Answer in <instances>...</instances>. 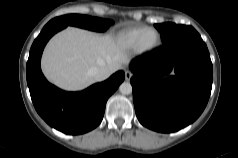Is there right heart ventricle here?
Wrapping results in <instances>:
<instances>
[{
	"instance_id": "right-heart-ventricle-1",
	"label": "right heart ventricle",
	"mask_w": 238,
	"mask_h": 158,
	"mask_svg": "<svg viewBox=\"0 0 238 158\" xmlns=\"http://www.w3.org/2000/svg\"><path fill=\"white\" fill-rule=\"evenodd\" d=\"M146 28L147 27L145 26H137V27L128 28L119 35V40L126 47H129V48L136 47L137 40L140 34Z\"/></svg>"
}]
</instances>
